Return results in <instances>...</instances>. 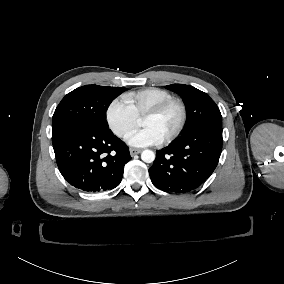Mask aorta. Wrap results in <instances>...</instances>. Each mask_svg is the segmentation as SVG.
<instances>
[{"label":"aorta","mask_w":284,"mask_h":284,"mask_svg":"<svg viewBox=\"0 0 284 284\" xmlns=\"http://www.w3.org/2000/svg\"><path fill=\"white\" fill-rule=\"evenodd\" d=\"M141 159L145 163H152L155 160V153L151 150H144L141 153Z\"/></svg>","instance_id":"obj_1"}]
</instances>
